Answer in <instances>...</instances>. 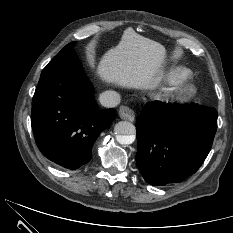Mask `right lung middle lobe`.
Listing matches in <instances>:
<instances>
[{
	"mask_svg": "<svg viewBox=\"0 0 233 233\" xmlns=\"http://www.w3.org/2000/svg\"><path fill=\"white\" fill-rule=\"evenodd\" d=\"M75 44H76V42L69 43L60 52L74 51L73 47L75 46Z\"/></svg>",
	"mask_w": 233,
	"mask_h": 233,
	"instance_id": "right-lung-middle-lobe-1",
	"label": "right lung middle lobe"
}]
</instances>
